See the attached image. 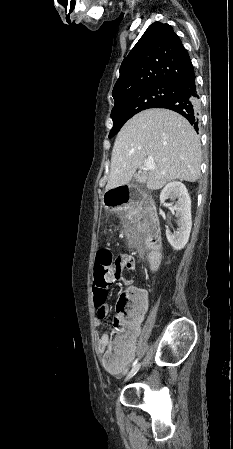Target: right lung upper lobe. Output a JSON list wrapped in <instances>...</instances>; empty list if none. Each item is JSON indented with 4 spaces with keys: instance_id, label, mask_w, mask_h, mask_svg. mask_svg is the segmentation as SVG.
<instances>
[{
    "instance_id": "cb5924a9",
    "label": "right lung upper lobe",
    "mask_w": 233,
    "mask_h": 449,
    "mask_svg": "<svg viewBox=\"0 0 233 449\" xmlns=\"http://www.w3.org/2000/svg\"><path fill=\"white\" fill-rule=\"evenodd\" d=\"M193 75L189 54L172 26L155 22L122 62L112 96L116 99L152 85L171 86Z\"/></svg>"
}]
</instances>
